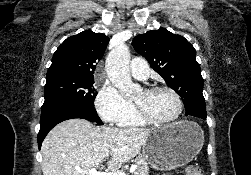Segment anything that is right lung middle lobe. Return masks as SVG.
Returning <instances> with one entry per match:
<instances>
[{
    "mask_svg": "<svg viewBox=\"0 0 251 175\" xmlns=\"http://www.w3.org/2000/svg\"><path fill=\"white\" fill-rule=\"evenodd\" d=\"M94 79L68 76L47 77L44 88L46 99H65L84 105H94L97 91L93 88Z\"/></svg>",
    "mask_w": 251,
    "mask_h": 175,
    "instance_id": "obj_1",
    "label": "right lung middle lobe"
}]
</instances>
